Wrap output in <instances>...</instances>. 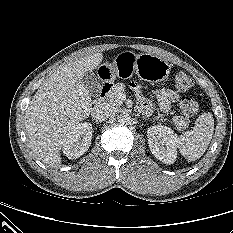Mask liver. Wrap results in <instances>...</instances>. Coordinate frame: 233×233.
<instances>
[{
  "mask_svg": "<svg viewBox=\"0 0 233 233\" xmlns=\"http://www.w3.org/2000/svg\"><path fill=\"white\" fill-rule=\"evenodd\" d=\"M102 60V53H95L64 64L34 94L25 113V127L32 151L44 163H61L64 135L92 111L83 75Z\"/></svg>",
  "mask_w": 233,
  "mask_h": 233,
  "instance_id": "6515ba94",
  "label": "liver"
}]
</instances>
